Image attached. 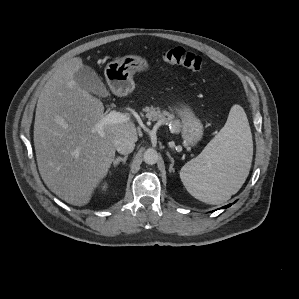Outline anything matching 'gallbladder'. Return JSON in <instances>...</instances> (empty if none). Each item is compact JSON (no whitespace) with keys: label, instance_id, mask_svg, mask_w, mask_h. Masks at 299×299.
I'll return each instance as SVG.
<instances>
[{"label":"gallbladder","instance_id":"gallbladder-1","mask_svg":"<svg viewBox=\"0 0 299 299\" xmlns=\"http://www.w3.org/2000/svg\"><path fill=\"white\" fill-rule=\"evenodd\" d=\"M74 80L83 90L100 96H107L108 92L97 75V73L89 66L83 65L74 73Z\"/></svg>","mask_w":299,"mask_h":299}]
</instances>
